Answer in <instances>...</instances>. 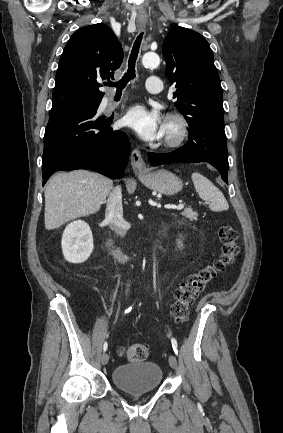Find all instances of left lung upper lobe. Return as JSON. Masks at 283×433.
Masks as SVG:
<instances>
[{"label":"left lung upper lobe","mask_w":283,"mask_h":433,"mask_svg":"<svg viewBox=\"0 0 283 433\" xmlns=\"http://www.w3.org/2000/svg\"><path fill=\"white\" fill-rule=\"evenodd\" d=\"M166 75L176 83L175 107L190 127L211 124L224 128L222 88L213 52L205 38L190 29L173 27L162 46Z\"/></svg>","instance_id":"left-lung-upper-lobe-1"}]
</instances>
